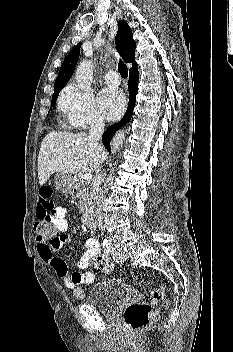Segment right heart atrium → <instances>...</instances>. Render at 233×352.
<instances>
[{
  "mask_svg": "<svg viewBox=\"0 0 233 352\" xmlns=\"http://www.w3.org/2000/svg\"><path fill=\"white\" fill-rule=\"evenodd\" d=\"M58 108L68 126L75 130L101 126L104 123L93 96L73 83L62 90Z\"/></svg>",
  "mask_w": 233,
  "mask_h": 352,
  "instance_id": "obj_1",
  "label": "right heart atrium"
}]
</instances>
